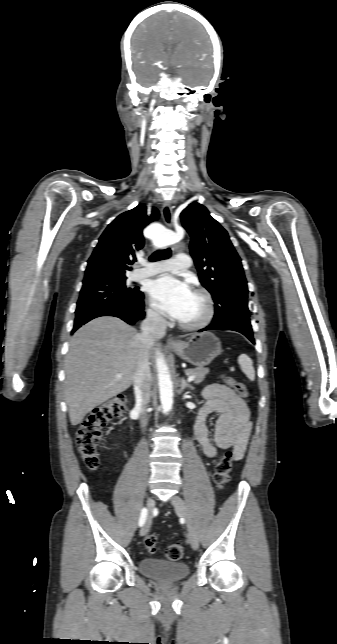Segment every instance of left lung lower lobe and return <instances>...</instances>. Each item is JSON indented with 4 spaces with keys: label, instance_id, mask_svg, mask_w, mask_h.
<instances>
[{
    "label": "left lung lower lobe",
    "instance_id": "obj_1",
    "mask_svg": "<svg viewBox=\"0 0 337 644\" xmlns=\"http://www.w3.org/2000/svg\"><path fill=\"white\" fill-rule=\"evenodd\" d=\"M207 330H232V331H236V332H239V333L245 335L252 343H255V340L253 338V333L252 332H245L242 329L237 328V327L232 326V325H229V324L211 323L206 328L199 330V332L207 331Z\"/></svg>",
    "mask_w": 337,
    "mask_h": 644
}]
</instances>
